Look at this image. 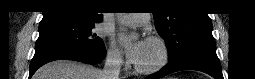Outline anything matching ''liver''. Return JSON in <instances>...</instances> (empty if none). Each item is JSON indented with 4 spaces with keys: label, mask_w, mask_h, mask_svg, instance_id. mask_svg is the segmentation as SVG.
<instances>
[{
    "label": "liver",
    "mask_w": 255,
    "mask_h": 79,
    "mask_svg": "<svg viewBox=\"0 0 255 79\" xmlns=\"http://www.w3.org/2000/svg\"><path fill=\"white\" fill-rule=\"evenodd\" d=\"M101 70L81 62L57 60L37 70L33 79H102Z\"/></svg>",
    "instance_id": "liver-1"
}]
</instances>
